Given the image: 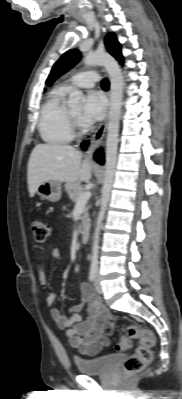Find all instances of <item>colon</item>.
I'll return each instance as SVG.
<instances>
[{"label":"colon","mask_w":182,"mask_h":399,"mask_svg":"<svg viewBox=\"0 0 182 399\" xmlns=\"http://www.w3.org/2000/svg\"><path fill=\"white\" fill-rule=\"evenodd\" d=\"M31 234L35 242L43 243L50 234V226L40 217H33L31 220ZM139 340V346L135 353L128 357L123 364V372L126 375H133L141 372L152 360L153 347L155 346V335L147 328L138 325H128L123 336L116 343L117 350H127L132 345V340Z\"/></svg>","instance_id":"1"}]
</instances>
